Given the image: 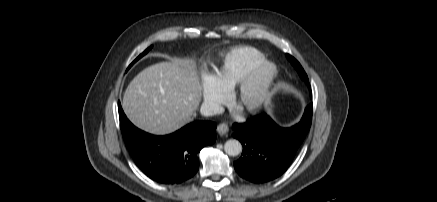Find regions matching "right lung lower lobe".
Returning a JSON list of instances; mask_svg holds the SVG:
<instances>
[{"mask_svg": "<svg viewBox=\"0 0 437 202\" xmlns=\"http://www.w3.org/2000/svg\"><path fill=\"white\" fill-rule=\"evenodd\" d=\"M119 119L123 139L136 165L162 184H180L192 178L199 169L200 150L216 140V124L210 121H196L172 134L155 136L136 128L120 103Z\"/></svg>", "mask_w": 437, "mask_h": 202, "instance_id": "obj_1", "label": "right lung lower lobe"}]
</instances>
